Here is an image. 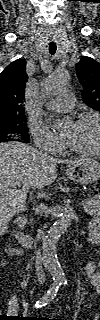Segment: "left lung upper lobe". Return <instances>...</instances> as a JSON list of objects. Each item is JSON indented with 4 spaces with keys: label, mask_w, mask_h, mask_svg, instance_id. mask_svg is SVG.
I'll return each mask as SVG.
<instances>
[{
    "label": "left lung upper lobe",
    "mask_w": 100,
    "mask_h": 320,
    "mask_svg": "<svg viewBox=\"0 0 100 320\" xmlns=\"http://www.w3.org/2000/svg\"><path fill=\"white\" fill-rule=\"evenodd\" d=\"M75 67L83 86V101L93 109L100 111V64L90 57L82 56Z\"/></svg>",
    "instance_id": "5c2ea615"
}]
</instances>
